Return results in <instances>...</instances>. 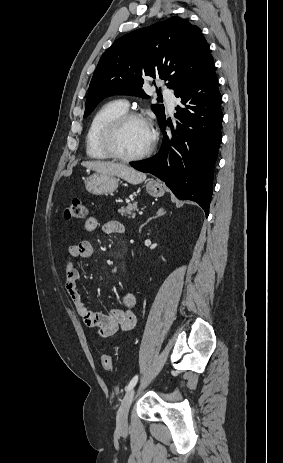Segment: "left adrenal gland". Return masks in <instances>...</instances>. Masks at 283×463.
<instances>
[{"mask_svg":"<svg viewBox=\"0 0 283 463\" xmlns=\"http://www.w3.org/2000/svg\"><path fill=\"white\" fill-rule=\"evenodd\" d=\"M165 213H166V211L164 210V208H159V209L157 210L155 216L148 218L147 221H146L144 224H142L140 228H143V227H144L145 225H147L152 219H156V218H158V217L163 216Z\"/></svg>","mask_w":283,"mask_h":463,"instance_id":"a2214340","label":"left adrenal gland"}]
</instances>
